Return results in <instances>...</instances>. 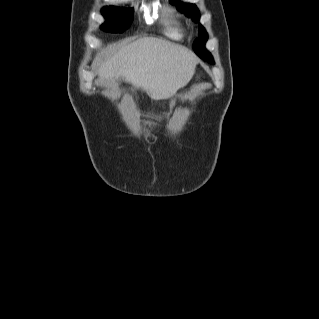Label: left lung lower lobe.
Here are the masks:
<instances>
[{
	"mask_svg": "<svg viewBox=\"0 0 319 319\" xmlns=\"http://www.w3.org/2000/svg\"><path fill=\"white\" fill-rule=\"evenodd\" d=\"M199 57H201L203 60H205V61H207L206 59H208L204 54H202V53H198L197 54ZM212 63H213V60H212Z\"/></svg>",
	"mask_w": 319,
	"mask_h": 319,
	"instance_id": "1",
	"label": "left lung lower lobe"
}]
</instances>
